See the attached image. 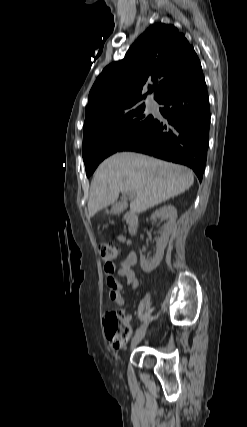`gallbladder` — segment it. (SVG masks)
Masks as SVG:
<instances>
[{"label": "gallbladder", "mask_w": 247, "mask_h": 427, "mask_svg": "<svg viewBox=\"0 0 247 427\" xmlns=\"http://www.w3.org/2000/svg\"><path fill=\"white\" fill-rule=\"evenodd\" d=\"M124 209H125V204H124V203H122V202H117V203H115V204L113 205V207H112V211H113L114 213H120V212H122Z\"/></svg>", "instance_id": "bac80fb5"}]
</instances>
